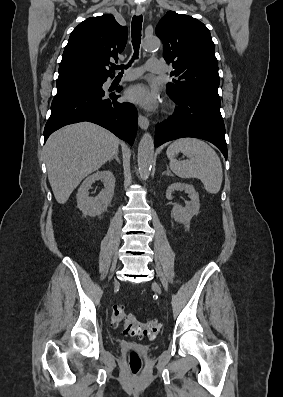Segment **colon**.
<instances>
[{
	"mask_svg": "<svg viewBox=\"0 0 283 397\" xmlns=\"http://www.w3.org/2000/svg\"><path fill=\"white\" fill-rule=\"evenodd\" d=\"M112 323L116 326H123L124 334L131 337L154 339L161 331V325L157 320L150 319L146 322H139L137 318L128 314L122 306H114L111 315ZM129 365L133 374H138L142 368L140 355L132 351L129 355Z\"/></svg>",
	"mask_w": 283,
	"mask_h": 397,
	"instance_id": "5ec220e1",
	"label": "colon"
}]
</instances>
